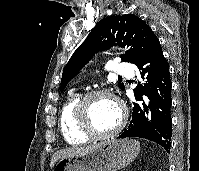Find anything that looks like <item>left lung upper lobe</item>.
Segmentation results:
<instances>
[{
    "label": "left lung upper lobe",
    "mask_w": 199,
    "mask_h": 171,
    "mask_svg": "<svg viewBox=\"0 0 199 171\" xmlns=\"http://www.w3.org/2000/svg\"><path fill=\"white\" fill-rule=\"evenodd\" d=\"M152 29L135 15L110 16L99 21L92 29L86 40L73 53L66 64L61 90L82 69L97 51H103L113 45L130 47L122 61L136 64L157 40ZM124 89L122 83H118Z\"/></svg>",
    "instance_id": "5c2ea615"
}]
</instances>
